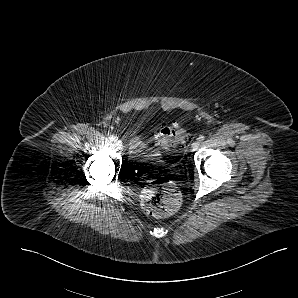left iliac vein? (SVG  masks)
I'll use <instances>...</instances> for the list:
<instances>
[{
	"instance_id": "left-iliac-vein-1",
	"label": "left iliac vein",
	"mask_w": 298,
	"mask_h": 298,
	"mask_svg": "<svg viewBox=\"0 0 298 298\" xmlns=\"http://www.w3.org/2000/svg\"><path fill=\"white\" fill-rule=\"evenodd\" d=\"M199 146H200V141L196 140L192 143L191 148H192V150H197L199 148Z\"/></svg>"
}]
</instances>
